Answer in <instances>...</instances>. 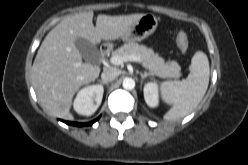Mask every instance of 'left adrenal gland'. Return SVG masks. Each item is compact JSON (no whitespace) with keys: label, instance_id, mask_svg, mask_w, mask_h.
Here are the masks:
<instances>
[{"label":"left adrenal gland","instance_id":"left-adrenal-gland-1","mask_svg":"<svg viewBox=\"0 0 248 165\" xmlns=\"http://www.w3.org/2000/svg\"><path fill=\"white\" fill-rule=\"evenodd\" d=\"M140 75H141L142 81H143V79H145L148 76H153L151 73H147V72L141 73Z\"/></svg>","mask_w":248,"mask_h":165}]
</instances>
